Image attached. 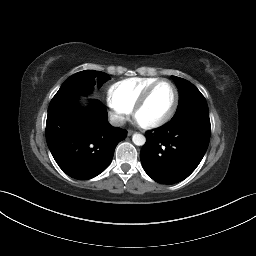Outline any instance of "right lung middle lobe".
I'll list each match as a JSON object with an SVG mask.
<instances>
[{"label":"right lung middle lobe","instance_id":"dd1d6c3e","mask_svg":"<svg viewBox=\"0 0 256 256\" xmlns=\"http://www.w3.org/2000/svg\"><path fill=\"white\" fill-rule=\"evenodd\" d=\"M109 75L104 72L85 70L70 76L60 87L58 92L52 98L50 105L75 99L79 94L87 92L89 87L98 83L101 85L109 79Z\"/></svg>","mask_w":256,"mask_h":256}]
</instances>
